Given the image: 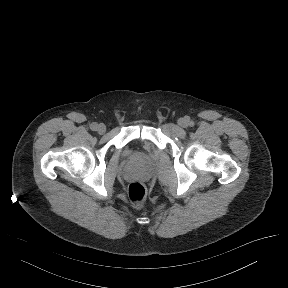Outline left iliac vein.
<instances>
[{
	"label": "left iliac vein",
	"instance_id": "obj_1",
	"mask_svg": "<svg viewBox=\"0 0 288 288\" xmlns=\"http://www.w3.org/2000/svg\"><path fill=\"white\" fill-rule=\"evenodd\" d=\"M178 124H179V126L186 128L189 125V121L186 118H179Z\"/></svg>",
	"mask_w": 288,
	"mask_h": 288
}]
</instances>
